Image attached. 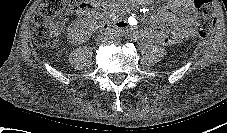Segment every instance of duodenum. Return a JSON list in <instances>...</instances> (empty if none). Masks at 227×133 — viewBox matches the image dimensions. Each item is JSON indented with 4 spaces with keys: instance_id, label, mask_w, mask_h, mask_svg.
<instances>
[{
    "instance_id": "410a0bca",
    "label": "duodenum",
    "mask_w": 227,
    "mask_h": 133,
    "mask_svg": "<svg viewBox=\"0 0 227 133\" xmlns=\"http://www.w3.org/2000/svg\"><path fill=\"white\" fill-rule=\"evenodd\" d=\"M101 29L104 32H118L124 29V25L119 21L117 22L105 21L101 25Z\"/></svg>"
}]
</instances>
